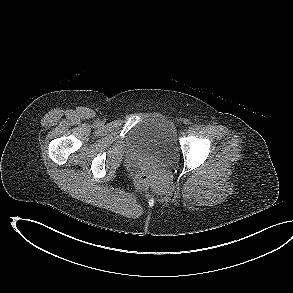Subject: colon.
<instances>
[{"label": "colon", "instance_id": "obj_1", "mask_svg": "<svg viewBox=\"0 0 293 293\" xmlns=\"http://www.w3.org/2000/svg\"><path fill=\"white\" fill-rule=\"evenodd\" d=\"M152 178V172L149 168H141L135 173V184L138 188L147 187Z\"/></svg>", "mask_w": 293, "mask_h": 293}]
</instances>
